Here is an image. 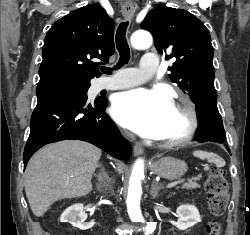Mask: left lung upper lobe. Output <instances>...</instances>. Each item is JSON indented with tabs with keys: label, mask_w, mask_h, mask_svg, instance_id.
<instances>
[{
	"label": "left lung upper lobe",
	"mask_w": 250,
	"mask_h": 235,
	"mask_svg": "<svg viewBox=\"0 0 250 235\" xmlns=\"http://www.w3.org/2000/svg\"><path fill=\"white\" fill-rule=\"evenodd\" d=\"M141 28L151 32L160 54L176 59L169 68L171 81L188 92L195 104L217 98L211 37L201 20L183 9L157 6Z\"/></svg>",
	"instance_id": "obj_1"
}]
</instances>
